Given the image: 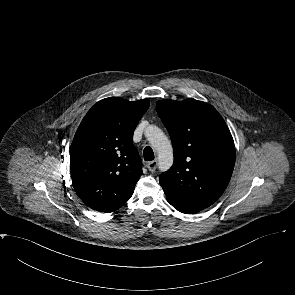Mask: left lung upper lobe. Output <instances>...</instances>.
I'll use <instances>...</instances> for the list:
<instances>
[{"instance_id": "5c2ea615", "label": "left lung upper lobe", "mask_w": 295, "mask_h": 295, "mask_svg": "<svg viewBox=\"0 0 295 295\" xmlns=\"http://www.w3.org/2000/svg\"><path fill=\"white\" fill-rule=\"evenodd\" d=\"M157 113L168 130L174 163L159 182L168 202L186 214L218 200L235 164L232 135L216 109L205 102L159 100Z\"/></svg>"}]
</instances>
